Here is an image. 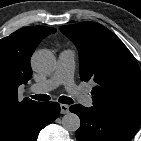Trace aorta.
<instances>
[{
    "label": "aorta",
    "mask_w": 141,
    "mask_h": 141,
    "mask_svg": "<svg viewBox=\"0 0 141 141\" xmlns=\"http://www.w3.org/2000/svg\"><path fill=\"white\" fill-rule=\"evenodd\" d=\"M31 66L38 73L50 74L55 69V57L51 51L39 49L31 57ZM80 124V118L75 113L69 112L62 118V125L69 132L77 131Z\"/></svg>",
    "instance_id": "obj_1"
}]
</instances>
